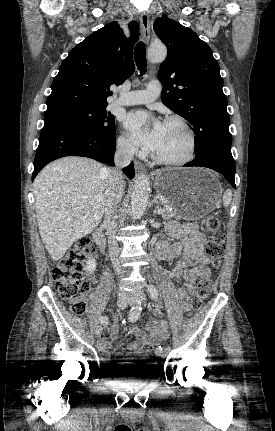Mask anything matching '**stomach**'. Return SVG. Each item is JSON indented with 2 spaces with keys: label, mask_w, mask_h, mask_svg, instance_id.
<instances>
[{
  "label": "stomach",
  "mask_w": 275,
  "mask_h": 431,
  "mask_svg": "<svg viewBox=\"0 0 275 431\" xmlns=\"http://www.w3.org/2000/svg\"><path fill=\"white\" fill-rule=\"evenodd\" d=\"M155 188L180 218L197 220L220 203L222 188L203 168H170L156 173Z\"/></svg>",
  "instance_id": "0dacf381"
}]
</instances>
